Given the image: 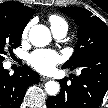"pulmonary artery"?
Returning a JSON list of instances; mask_svg holds the SVG:
<instances>
[{
    "mask_svg": "<svg viewBox=\"0 0 108 108\" xmlns=\"http://www.w3.org/2000/svg\"><path fill=\"white\" fill-rule=\"evenodd\" d=\"M51 31L56 39H63L68 31V26L62 25L51 28Z\"/></svg>",
    "mask_w": 108,
    "mask_h": 108,
    "instance_id": "pulmonary-artery-1",
    "label": "pulmonary artery"
}]
</instances>
